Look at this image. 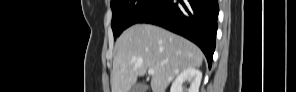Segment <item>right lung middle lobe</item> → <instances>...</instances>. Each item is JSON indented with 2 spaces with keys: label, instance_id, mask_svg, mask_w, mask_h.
<instances>
[{
  "label": "right lung middle lobe",
  "instance_id": "1",
  "mask_svg": "<svg viewBox=\"0 0 296 92\" xmlns=\"http://www.w3.org/2000/svg\"><path fill=\"white\" fill-rule=\"evenodd\" d=\"M160 0H112V30L114 37L119 36L127 27L135 24Z\"/></svg>",
  "mask_w": 296,
  "mask_h": 92
}]
</instances>
